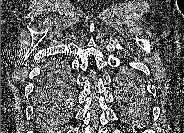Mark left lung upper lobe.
Wrapping results in <instances>:
<instances>
[{
	"mask_svg": "<svg viewBox=\"0 0 184 133\" xmlns=\"http://www.w3.org/2000/svg\"><path fill=\"white\" fill-rule=\"evenodd\" d=\"M118 82L122 89L120 99L122 104L135 114H145L148 111V106L143 96V86L137 77L131 73H122Z\"/></svg>",
	"mask_w": 184,
	"mask_h": 133,
	"instance_id": "1",
	"label": "left lung upper lobe"
}]
</instances>
